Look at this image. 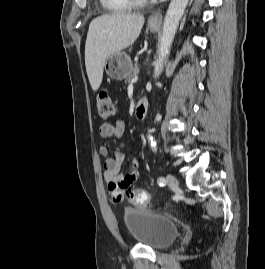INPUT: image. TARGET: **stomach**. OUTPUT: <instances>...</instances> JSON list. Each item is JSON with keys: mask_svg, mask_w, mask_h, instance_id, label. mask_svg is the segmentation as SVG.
I'll return each mask as SVG.
<instances>
[{"mask_svg": "<svg viewBox=\"0 0 265 269\" xmlns=\"http://www.w3.org/2000/svg\"><path fill=\"white\" fill-rule=\"evenodd\" d=\"M148 27L150 31L154 32L159 26L157 24L148 23ZM104 66L107 75L116 80L127 78L133 69L131 58L125 52L110 55Z\"/></svg>", "mask_w": 265, "mask_h": 269, "instance_id": "0dacf381", "label": "stomach"}]
</instances>
